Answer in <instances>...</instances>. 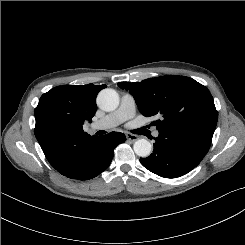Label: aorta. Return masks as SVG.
Wrapping results in <instances>:
<instances>
[{"label":"aorta","mask_w":245,"mask_h":245,"mask_svg":"<svg viewBox=\"0 0 245 245\" xmlns=\"http://www.w3.org/2000/svg\"><path fill=\"white\" fill-rule=\"evenodd\" d=\"M97 102L102 110L113 111L119 105V95L114 89L106 88L99 92ZM133 148L134 152L140 157H147L152 151V145L146 139H138Z\"/></svg>","instance_id":"762f6f07"}]
</instances>
